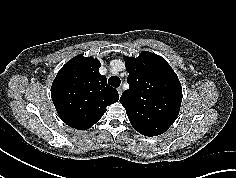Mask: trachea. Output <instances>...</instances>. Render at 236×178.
Segmentation results:
<instances>
[{
    "label": "trachea",
    "mask_w": 236,
    "mask_h": 178,
    "mask_svg": "<svg viewBox=\"0 0 236 178\" xmlns=\"http://www.w3.org/2000/svg\"><path fill=\"white\" fill-rule=\"evenodd\" d=\"M108 83H109L111 86L117 88V87L120 86L121 80H120L119 77L112 76V77H110V78L108 79Z\"/></svg>",
    "instance_id": "trachea-1"
}]
</instances>
